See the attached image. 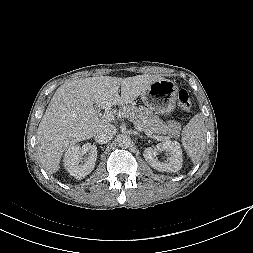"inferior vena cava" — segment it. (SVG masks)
<instances>
[{
  "label": "inferior vena cava",
  "mask_w": 253,
  "mask_h": 253,
  "mask_svg": "<svg viewBox=\"0 0 253 253\" xmlns=\"http://www.w3.org/2000/svg\"><path fill=\"white\" fill-rule=\"evenodd\" d=\"M115 134H116L115 126L111 124H105L97 130L95 134V140L97 143L106 144L113 138Z\"/></svg>",
  "instance_id": "602c4592"
}]
</instances>
